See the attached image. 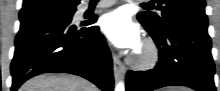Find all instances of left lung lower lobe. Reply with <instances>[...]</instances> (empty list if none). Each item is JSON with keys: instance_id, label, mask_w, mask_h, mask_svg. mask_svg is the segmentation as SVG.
<instances>
[{"instance_id": "0a47b994", "label": "left lung lower lobe", "mask_w": 220, "mask_h": 91, "mask_svg": "<svg viewBox=\"0 0 220 91\" xmlns=\"http://www.w3.org/2000/svg\"><path fill=\"white\" fill-rule=\"evenodd\" d=\"M148 33L159 49V63L147 72L128 71L127 91H152L165 86L215 91L207 28L176 25L161 35Z\"/></svg>"}]
</instances>
